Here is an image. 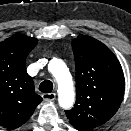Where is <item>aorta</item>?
Here are the masks:
<instances>
[{
    "label": "aorta",
    "mask_w": 131,
    "mask_h": 131,
    "mask_svg": "<svg viewBox=\"0 0 131 131\" xmlns=\"http://www.w3.org/2000/svg\"><path fill=\"white\" fill-rule=\"evenodd\" d=\"M49 71L54 75L58 85V102L64 108H70L74 103L73 81L68 68L60 59H52Z\"/></svg>",
    "instance_id": "762f6f07"
}]
</instances>
